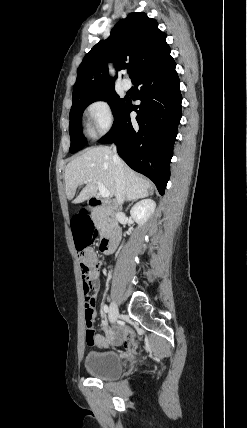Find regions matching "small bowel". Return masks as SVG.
I'll return each instance as SVG.
<instances>
[{
	"label": "small bowel",
	"mask_w": 247,
	"mask_h": 428,
	"mask_svg": "<svg viewBox=\"0 0 247 428\" xmlns=\"http://www.w3.org/2000/svg\"><path fill=\"white\" fill-rule=\"evenodd\" d=\"M87 256L89 258L90 263L93 265H96L97 258H96L95 253L90 250V251H88ZM99 289H100V280L98 277V273H96V278L92 283L91 292H90V295L88 297V302L93 304V306H95V302H96V298L98 296ZM128 335H129V333L127 331L119 329V330L115 331L114 333L106 335V336L100 335V334L94 335L95 339L92 342H89L87 339H86V342L88 345H91V346L95 345V346H99V347H106L110 344H115V345L120 344Z\"/></svg>",
	"instance_id": "1"
}]
</instances>
